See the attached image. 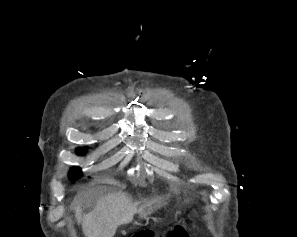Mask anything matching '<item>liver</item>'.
Segmentation results:
<instances>
[{
	"mask_svg": "<svg viewBox=\"0 0 297 237\" xmlns=\"http://www.w3.org/2000/svg\"><path fill=\"white\" fill-rule=\"evenodd\" d=\"M74 211L86 237H114L118 226L133 220L137 205L124 192H118L97 199L89 213L82 214L79 204Z\"/></svg>",
	"mask_w": 297,
	"mask_h": 237,
	"instance_id": "liver-1",
	"label": "liver"
}]
</instances>
